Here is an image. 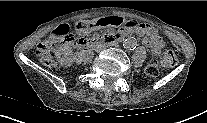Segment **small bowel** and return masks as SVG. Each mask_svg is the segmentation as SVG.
Here are the masks:
<instances>
[{
    "label": "small bowel",
    "mask_w": 207,
    "mask_h": 123,
    "mask_svg": "<svg viewBox=\"0 0 207 123\" xmlns=\"http://www.w3.org/2000/svg\"><path fill=\"white\" fill-rule=\"evenodd\" d=\"M123 24V19L121 17H104L102 20L97 22L98 26L105 27H120ZM89 28L85 21L77 22V29L79 31H85ZM135 31L139 36L143 37V43L151 47V53L154 56H158L164 46L163 40L157 35L156 29L149 24L141 23L138 24L135 21H128L125 23V29L123 32H133ZM79 45H83L78 43Z\"/></svg>",
    "instance_id": "1"
}]
</instances>
